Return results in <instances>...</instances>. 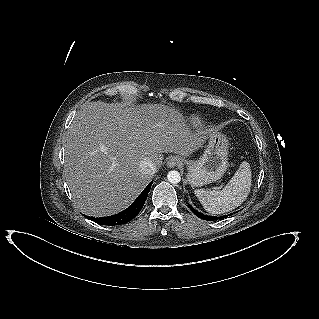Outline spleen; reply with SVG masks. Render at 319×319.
I'll list each match as a JSON object with an SVG mask.
<instances>
[{
  "label": "spleen",
  "mask_w": 319,
  "mask_h": 319,
  "mask_svg": "<svg viewBox=\"0 0 319 319\" xmlns=\"http://www.w3.org/2000/svg\"><path fill=\"white\" fill-rule=\"evenodd\" d=\"M251 181L249 163L244 161L221 191L196 189L194 193L207 212L223 214L246 200L251 189Z\"/></svg>",
  "instance_id": "1"
}]
</instances>
